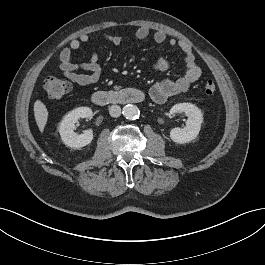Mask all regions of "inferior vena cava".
Listing matches in <instances>:
<instances>
[{"mask_svg": "<svg viewBox=\"0 0 265 265\" xmlns=\"http://www.w3.org/2000/svg\"><path fill=\"white\" fill-rule=\"evenodd\" d=\"M109 114L112 117H119L121 115V107L118 105H112L109 107Z\"/></svg>", "mask_w": 265, "mask_h": 265, "instance_id": "1", "label": "inferior vena cava"}]
</instances>
